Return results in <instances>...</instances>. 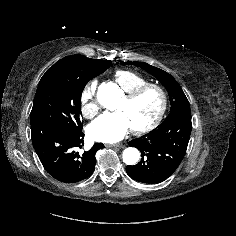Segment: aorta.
<instances>
[{
	"label": "aorta",
	"mask_w": 236,
	"mask_h": 236,
	"mask_svg": "<svg viewBox=\"0 0 236 236\" xmlns=\"http://www.w3.org/2000/svg\"><path fill=\"white\" fill-rule=\"evenodd\" d=\"M121 96L122 91L115 84L102 88L97 93L98 102L110 110L114 109L115 102L118 101ZM122 158L125 164L134 165L139 161L140 152L134 147H129L123 151Z\"/></svg>",
	"instance_id": "aorta-1"
}]
</instances>
